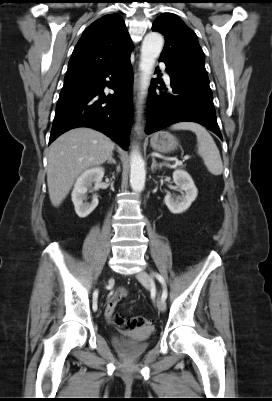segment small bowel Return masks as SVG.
I'll return each mask as SVG.
<instances>
[{
  "instance_id": "small-bowel-1",
  "label": "small bowel",
  "mask_w": 272,
  "mask_h": 401,
  "mask_svg": "<svg viewBox=\"0 0 272 401\" xmlns=\"http://www.w3.org/2000/svg\"><path fill=\"white\" fill-rule=\"evenodd\" d=\"M124 294H125V290L119 289V290H116L115 292H113L110 295V297L108 298V301H107V304L105 307V311H104L105 318L108 321L111 320L114 309H115L116 305L118 304V302L120 301V299L124 296Z\"/></svg>"
}]
</instances>
